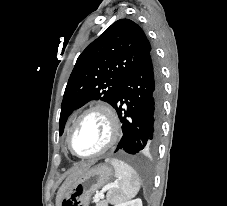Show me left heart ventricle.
I'll use <instances>...</instances> for the list:
<instances>
[{"label": "left heart ventricle", "mask_w": 227, "mask_h": 206, "mask_svg": "<svg viewBox=\"0 0 227 206\" xmlns=\"http://www.w3.org/2000/svg\"><path fill=\"white\" fill-rule=\"evenodd\" d=\"M110 136V126L107 118L100 112L85 116L76 127L71 144L79 155H87L101 149Z\"/></svg>", "instance_id": "obj_1"}]
</instances>
